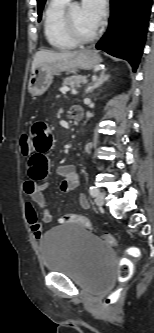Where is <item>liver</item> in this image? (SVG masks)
Wrapping results in <instances>:
<instances>
[{"mask_svg": "<svg viewBox=\"0 0 154 333\" xmlns=\"http://www.w3.org/2000/svg\"><path fill=\"white\" fill-rule=\"evenodd\" d=\"M77 54H78L77 51L74 52H68V51L54 52L48 50L38 51L34 56L31 71H33L38 65L42 63H52L56 61L69 59L76 56Z\"/></svg>", "mask_w": 154, "mask_h": 333, "instance_id": "liver-1", "label": "liver"}]
</instances>
